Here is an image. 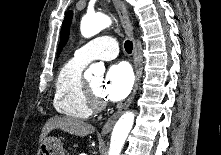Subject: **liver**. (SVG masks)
Segmentation results:
<instances>
[{
  "label": "liver",
  "instance_id": "obj_1",
  "mask_svg": "<svg viewBox=\"0 0 221 155\" xmlns=\"http://www.w3.org/2000/svg\"><path fill=\"white\" fill-rule=\"evenodd\" d=\"M53 129H61L65 132L80 137L87 136L95 131V127L93 125L82 120L71 117L54 116L48 119L45 123L39 138V142L42 143Z\"/></svg>",
  "mask_w": 221,
  "mask_h": 155
}]
</instances>
